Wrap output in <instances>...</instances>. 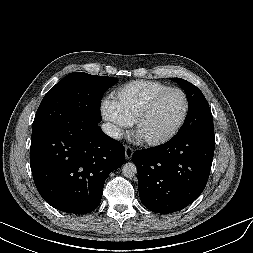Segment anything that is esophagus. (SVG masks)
Here are the masks:
<instances>
[{"label":"esophagus","mask_w":253,"mask_h":253,"mask_svg":"<svg viewBox=\"0 0 253 253\" xmlns=\"http://www.w3.org/2000/svg\"><path fill=\"white\" fill-rule=\"evenodd\" d=\"M133 155V149L129 146H125V157L129 160Z\"/></svg>","instance_id":"1"}]
</instances>
